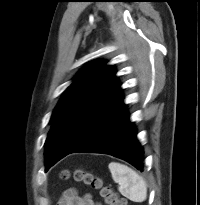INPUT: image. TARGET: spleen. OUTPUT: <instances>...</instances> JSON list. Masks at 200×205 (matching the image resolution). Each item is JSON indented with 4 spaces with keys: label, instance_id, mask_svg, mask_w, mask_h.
<instances>
[{
    "label": "spleen",
    "instance_id": "spleen-1",
    "mask_svg": "<svg viewBox=\"0 0 200 205\" xmlns=\"http://www.w3.org/2000/svg\"><path fill=\"white\" fill-rule=\"evenodd\" d=\"M108 168L113 180L118 183V190L123 196L133 202L146 200V182L136 171L118 162H111Z\"/></svg>",
    "mask_w": 200,
    "mask_h": 205
}]
</instances>
